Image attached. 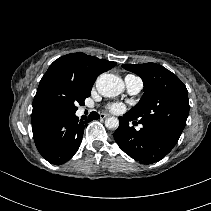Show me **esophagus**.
Returning a JSON list of instances; mask_svg holds the SVG:
<instances>
[{"label": "esophagus", "instance_id": "esophagus-1", "mask_svg": "<svg viewBox=\"0 0 211 211\" xmlns=\"http://www.w3.org/2000/svg\"><path fill=\"white\" fill-rule=\"evenodd\" d=\"M108 117H110V115H109V114H106V113H102V114H100V118H102V119H104V118H108Z\"/></svg>", "mask_w": 211, "mask_h": 211}]
</instances>
